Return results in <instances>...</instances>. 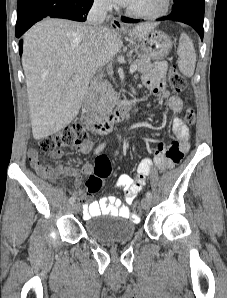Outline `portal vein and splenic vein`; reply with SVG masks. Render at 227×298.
I'll return each instance as SVG.
<instances>
[{"label": "portal vein and splenic vein", "mask_w": 227, "mask_h": 298, "mask_svg": "<svg viewBox=\"0 0 227 298\" xmlns=\"http://www.w3.org/2000/svg\"><path fill=\"white\" fill-rule=\"evenodd\" d=\"M136 69H137L136 65H135V64H132V65L130 66L129 72H130L131 74H133V73L136 71ZM80 78H81V77H80L79 75L75 76V79H80Z\"/></svg>", "instance_id": "18ae733b"}]
</instances>
